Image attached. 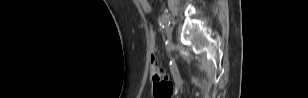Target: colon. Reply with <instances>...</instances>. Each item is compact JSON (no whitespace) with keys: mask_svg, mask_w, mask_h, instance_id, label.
I'll return each mask as SVG.
<instances>
[{"mask_svg":"<svg viewBox=\"0 0 308 98\" xmlns=\"http://www.w3.org/2000/svg\"><path fill=\"white\" fill-rule=\"evenodd\" d=\"M151 42L154 44V38L151 34ZM150 73L152 78L153 94L155 98H168L173 93V84L163 76L159 70L158 60L155 49H152L150 59Z\"/></svg>","mask_w":308,"mask_h":98,"instance_id":"1","label":"colon"}]
</instances>
